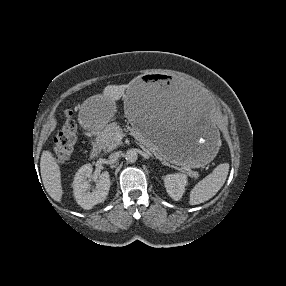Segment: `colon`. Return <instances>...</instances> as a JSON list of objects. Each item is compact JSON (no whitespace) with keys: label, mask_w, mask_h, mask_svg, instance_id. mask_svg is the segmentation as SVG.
<instances>
[{"label":"colon","mask_w":286,"mask_h":286,"mask_svg":"<svg viewBox=\"0 0 286 286\" xmlns=\"http://www.w3.org/2000/svg\"><path fill=\"white\" fill-rule=\"evenodd\" d=\"M76 143L77 126L72 113L66 111L54 140V155L57 161L64 162L68 160L75 149Z\"/></svg>","instance_id":"5ec220e1"}]
</instances>
